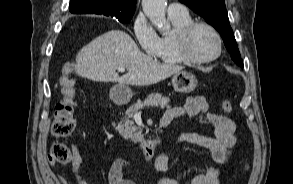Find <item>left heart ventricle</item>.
<instances>
[{"instance_id":"1","label":"left heart ventricle","mask_w":293,"mask_h":184,"mask_svg":"<svg viewBox=\"0 0 293 184\" xmlns=\"http://www.w3.org/2000/svg\"><path fill=\"white\" fill-rule=\"evenodd\" d=\"M189 51L196 58H207L217 51V41L206 28H197L190 37Z\"/></svg>"}]
</instances>
